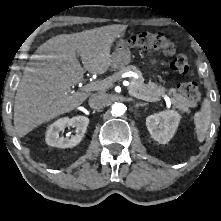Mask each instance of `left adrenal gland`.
I'll list each match as a JSON object with an SVG mask.
<instances>
[{
    "label": "left adrenal gland",
    "mask_w": 221,
    "mask_h": 221,
    "mask_svg": "<svg viewBox=\"0 0 221 221\" xmlns=\"http://www.w3.org/2000/svg\"><path fill=\"white\" fill-rule=\"evenodd\" d=\"M145 105H146L145 103H137V104H135V107L138 108L140 106H145Z\"/></svg>",
    "instance_id": "1"
}]
</instances>
